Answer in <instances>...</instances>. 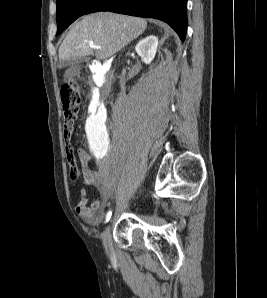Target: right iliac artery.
Instances as JSON below:
<instances>
[{"label": "right iliac artery", "mask_w": 267, "mask_h": 298, "mask_svg": "<svg viewBox=\"0 0 267 298\" xmlns=\"http://www.w3.org/2000/svg\"><path fill=\"white\" fill-rule=\"evenodd\" d=\"M111 215H112V211L109 210L106 214V217H105V223L109 221V219L111 218Z\"/></svg>", "instance_id": "1"}]
</instances>
